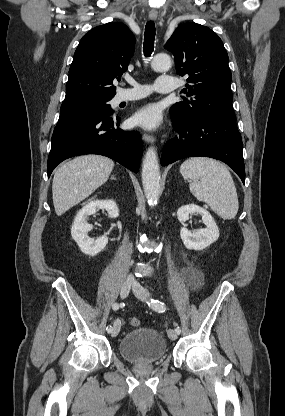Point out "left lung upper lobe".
<instances>
[{
  "mask_svg": "<svg viewBox=\"0 0 285 416\" xmlns=\"http://www.w3.org/2000/svg\"><path fill=\"white\" fill-rule=\"evenodd\" d=\"M173 53L176 72L189 76L183 89L190 99L170 109L172 121L186 124L210 114H234L231 72L221 39L208 27L181 24L165 45Z\"/></svg>",
  "mask_w": 285,
  "mask_h": 416,
  "instance_id": "left-lung-upper-lobe-1",
  "label": "left lung upper lobe"
}]
</instances>
